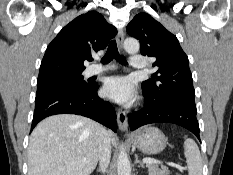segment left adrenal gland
<instances>
[{
	"label": "left adrenal gland",
	"instance_id": "obj_1",
	"mask_svg": "<svg viewBox=\"0 0 233 175\" xmlns=\"http://www.w3.org/2000/svg\"><path fill=\"white\" fill-rule=\"evenodd\" d=\"M134 164H139L142 168H144V163L138 160V156L135 157V162Z\"/></svg>",
	"mask_w": 233,
	"mask_h": 175
}]
</instances>
